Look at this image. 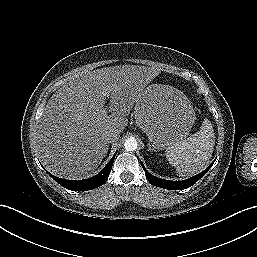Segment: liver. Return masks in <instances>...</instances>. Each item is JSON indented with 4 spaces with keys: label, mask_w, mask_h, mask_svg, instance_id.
<instances>
[{
    "label": "liver",
    "mask_w": 257,
    "mask_h": 257,
    "mask_svg": "<svg viewBox=\"0 0 257 257\" xmlns=\"http://www.w3.org/2000/svg\"><path fill=\"white\" fill-rule=\"evenodd\" d=\"M158 74L155 67L123 65L70 79L49 99L38 126V153L46 169L67 179L89 176L108 152L103 133L123 132L134 104Z\"/></svg>",
    "instance_id": "liver-1"
}]
</instances>
